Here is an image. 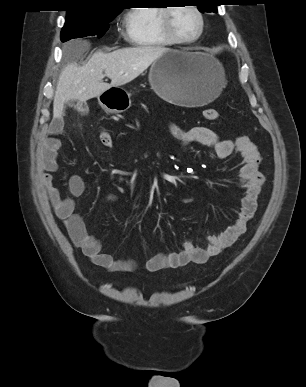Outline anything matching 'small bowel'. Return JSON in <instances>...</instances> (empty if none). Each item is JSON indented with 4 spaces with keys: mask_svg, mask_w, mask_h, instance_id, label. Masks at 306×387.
<instances>
[{
    "mask_svg": "<svg viewBox=\"0 0 306 387\" xmlns=\"http://www.w3.org/2000/svg\"><path fill=\"white\" fill-rule=\"evenodd\" d=\"M63 119H55L48 130L40 150V179L46 189L49 201L55 215L63 222L74 244L82 250L90 261L109 271L134 273L138 264L131 259H115L102 251L100 240L89 234L82 217L75 212L74 198L85 192V182L80 175H72L68 180V189L71 197H65L53 184V174L58 170V150L60 140L57 135L63 131ZM171 132L183 147L193 143L207 146L211 149V157L225 159L237 152L242 158L240 169V187L244 191L240 199V206L236 212L234 223L219 235L207 237L205 247L197 246L193 240L183 243L178 252H159L150 258L143 266L148 272H157L167 268H178L188 264H203L211 257L218 255L230 247L242 234L246 232L248 222L253 218L257 209V198L264 184V176L259 170L261 161L257 146L247 136L235 140H221L210 128L196 126L190 129L171 124ZM117 200L115 194L106 196L107 202Z\"/></svg>",
    "mask_w": 306,
    "mask_h": 387,
    "instance_id": "small-bowel-1",
    "label": "small bowel"
}]
</instances>
